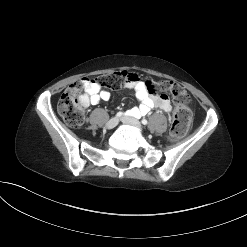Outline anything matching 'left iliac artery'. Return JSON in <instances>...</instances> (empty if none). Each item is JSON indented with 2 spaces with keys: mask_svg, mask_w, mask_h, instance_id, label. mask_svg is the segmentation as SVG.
I'll use <instances>...</instances> for the list:
<instances>
[{
  "mask_svg": "<svg viewBox=\"0 0 247 247\" xmlns=\"http://www.w3.org/2000/svg\"><path fill=\"white\" fill-rule=\"evenodd\" d=\"M141 122H142L143 125H147L148 124V121L146 119H142Z\"/></svg>",
  "mask_w": 247,
  "mask_h": 247,
  "instance_id": "obj_1",
  "label": "left iliac artery"
}]
</instances>
